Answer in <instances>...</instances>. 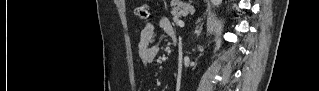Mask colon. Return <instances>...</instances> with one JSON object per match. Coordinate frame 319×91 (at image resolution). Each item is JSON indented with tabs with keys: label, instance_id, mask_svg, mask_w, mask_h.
<instances>
[{
	"label": "colon",
	"instance_id": "1",
	"mask_svg": "<svg viewBox=\"0 0 319 91\" xmlns=\"http://www.w3.org/2000/svg\"><path fill=\"white\" fill-rule=\"evenodd\" d=\"M136 15L138 18L144 21L151 19L150 8L147 4H141L136 8Z\"/></svg>",
	"mask_w": 319,
	"mask_h": 91
}]
</instances>
